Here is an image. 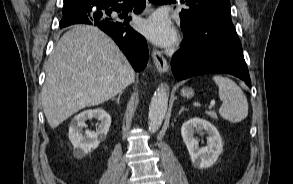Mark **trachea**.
<instances>
[{"label":"trachea","mask_w":293,"mask_h":184,"mask_svg":"<svg viewBox=\"0 0 293 184\" xmlns=\"http://www.w3.org/2000/svg\"><path fill=\"white\" fill-rule=\"evenodd\" d=\"M150 2L152 3H159V2H162V1H166V0H149Z\"/></svg>","instance_id":"obj_1"}]
</instances>
